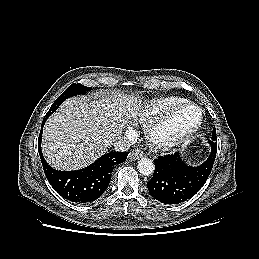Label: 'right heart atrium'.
I'll return each instance as SVG.
<instances>
[{
  "instance_id": "right-heart-atrium-1",
  "label": "right heart atrium",
  "mask_w": 259,
  "mask_h": 259,
  "mask_svg": "<svg viewBox=\"0 0 259 259\" xmlns=\"http://www.w3.org/2000/svg\"><path fill=\"white\" fill-rule=\"evenodd\" d=\"M133 130L132 129H129L128 131H127V134L129 135V136H132L133 135Z\"/></svg>"
}]
</instances>
